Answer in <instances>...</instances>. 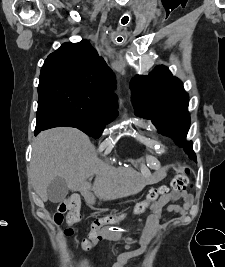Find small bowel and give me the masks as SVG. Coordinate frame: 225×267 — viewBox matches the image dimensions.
<instances>
[{
    "label": "small bowel",
    "instance_id": "1",
    "mask_svg": "<svg viewBox=\"0 0 225 267\" xmlns=\"http://www.w3.org/2000/svg\"><path fill=\"white\" fill-rule=\"evenodd\" d=\"M177 200H181V204H173L172 202H175ZM171 203V204H169ZM193 204V196L192 194L184 191L182 193H171L162 199H160L158 202H156L151 207V214L148 217V223L151 228V230H157L159 227V219L161 217V214L163 212V209L166 207V212L168 213H176L179 215L184 214ZM91 233V231H90ZM114 234L106 231L104 234H99L95 236L92 239L93 245L97 244L101 239L105 237H111ZM149 243L148 239H145L142 246L134 251L127 252L122 254L118 261L114 264L113 267H125L127 262L134 257L141 256L146 251L147 245Z\"/></svg>",
    "mask_w": 225,
    "mask_h": 267
}]
</instances>
